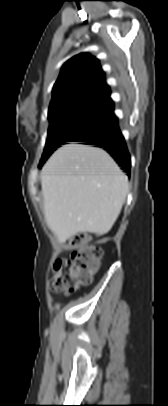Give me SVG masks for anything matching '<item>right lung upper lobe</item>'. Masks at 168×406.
Returning a JSON list of instances; mask_svg holds the SVG:
<instances>
[{"label":"right lung upper lobe","mask_w":168,"mask_h":406,"mask_svg":"<svg viewBox=\"0 0 168 406\" xmlns=\"http://www.w3.org/2000/svg\"><path fill=\"white\" fill-rule=\"evenodd\" d=\"M78 105L113 106L99 61L88 54L68 60L53 87L49 113Z\"/></svg>","instance_id":"obj_1"}]
</instances>
